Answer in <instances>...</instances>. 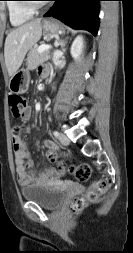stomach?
<instances>
[{
    "label": "stomach",
    "mask_w": 133,
    "mask_h": 253,
    "mask_svg": "<svg viewBox=\"0 0 133 253\" xmlns=\"http://www.w3.org/2000/svg\"><path fill=\"white\" fill-rule=\"evenodd\" d=\"M44 33L54 35L61 31V27L54 21L44 20L42 24ZM30 74L27 69H20L11 76L9 81V89L12 93L22 94L28 90Z\"/></svg>",
    "instance_id": "0dacf381"
}]
</instances>
